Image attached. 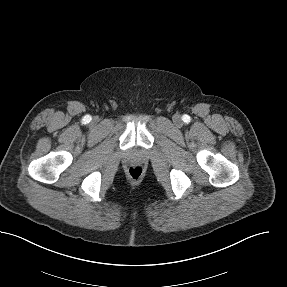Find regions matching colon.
Instances as JSON below:
<instances>
[{"instance_id":"obj_1","label":"colon","mask_w":287,"mask_h":287,"mask_svg":"<svg viewBox=\"0 0 287 287\" xmlns=\"http://www.w3.org/2000/svg\"><path fill=\"white\" fill-rule=\"evenodd\" d=\"M128 175L133 180H138L143 175V168L138 165L130 166L128 168Z\"/></svg>"}]
</instances>
